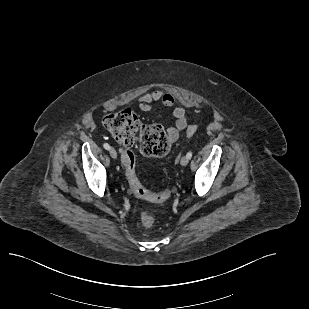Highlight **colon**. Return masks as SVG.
Returning <instances> with one entry per match:
<instances>
[{"label":"colon","instance_id":"obj_1","mask_svg":"<svg viewBox=\"0 0 309 309\" xmlns=\"http://www.w3.org/2000/svg\"><path fill=\"white\" fill-rule=\"evenodd\" d=\"M104 125L123 146L122 160L134 194L151 202L166 201L171 195L169 190L151 193L142 186L136 175L135 156L132 151V146L138 143L141 153L145 156L160 157L167 154L170 142L163 127L159 124L144 125L138 116L128 109L108 114L104 118ZM196 132V126L187 129L190 136ZM140 218L144 227H151L155 222L154 216L146 210L141 212Z\"/></svg>","mask_w":309,"mask_h":309}]
</instances>
